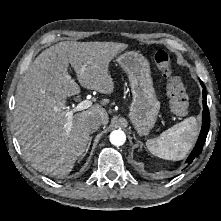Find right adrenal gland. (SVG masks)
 Returning a JSON list of instances; mask_svg holds the SVG:
<instances>
[{
  "label": "right adrenal gland",
  "mask_w": 221,
  "mask_h": 221,
  "mask_svg": "<svg viewBox=\"0 0 221 221\" xmlns=\"http://www.w3.org/2000/svg\"><path fill=\"white\" fill-rule=\"evenodd\" d=\"M91 139H92V137H90V140H89V143H88V146H87V150H86V152H87V151L89 150V148H90Z\"/></svg>",
  "instance_id": "2a0ac1e0"
}]
</instances>
